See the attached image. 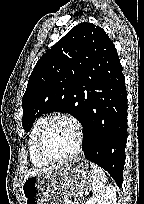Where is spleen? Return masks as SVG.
Wrapping results in <instances>:
<instances>
[{
    "label": "spleen",
    "instance_id": "spleen-1",
    "mask_svg": "<svg viewBox=\"0 0 144 204\" xmlns=\"http://www.w3.org/2000/svg\"><path fill=\"white\" fill-rule=\"evenodd\" d=\"M107 182V177L104 171L97 165H94L93 168V180H92V191L99 193L102 191L104 185Z\"/></svg>",
    "mask_w": 144,
    "mask_h": 204
}]
</instances>
